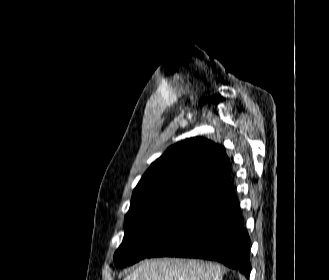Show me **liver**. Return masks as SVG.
<instances>
[{
	"label": "liver",
	"instance_id": "6515ba94",
	"mask_svg": "<svg viewBox=\"0 0 329 280\" xmlns=\"http://www.w3.org/2000/svg\"><path fill=\"white\" fill-rule=\"evenodd\" d=\"M123 280H222V271L216 263L157 258L142 261Z\"/></svg>",
	"mask_w": 329,
	"mask_h": 280
}]
</instances>
